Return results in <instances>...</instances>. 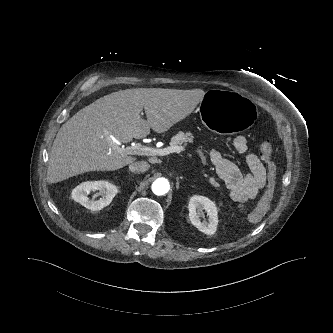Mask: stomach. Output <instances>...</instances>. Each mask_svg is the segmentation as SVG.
Wrapping results in <instances>:
<instances>
[{
    "label": "stomach",
    "mask_w": 333,
    "mask_h": 333,
    "mask_svg": "<svg viewBox=\"0 0 333 333\" xmlns=\"http://www.w3.org/2000/svg\"><path fill=\"white\" fill-rule=\"evenodd\" d=\"M199 116L214 134L242 135L256 125L258 108L254 101L245 95L212 90L201 99Z\"/></svg>",
    "instance_id": "0dacf381"
}]
</instances>
